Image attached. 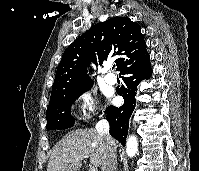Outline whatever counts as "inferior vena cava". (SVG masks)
<instances>
[{
    "instance_id": "inferior-vena-cava-1",
    "label": "inferior vena cava",
    "mask_w": 199,
    "mask_h": 171,
    "mask_svg": "<svg viewBox=\"0 0 199 171\" xmlns=\"http://www.w3.org/2000/svg\"><path fill=\"white\" fill-rule=\"evenodd\" d=\"M109 128V122L106 119H102L96 124V131L105 141L107 146V154L102 166V171H116V145L115 141L109 134Z\"/></svg>"
}]
</instances>
